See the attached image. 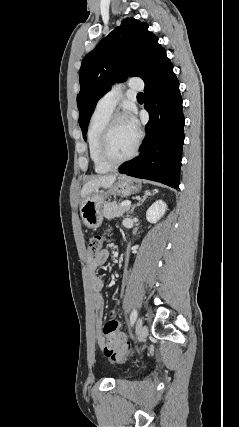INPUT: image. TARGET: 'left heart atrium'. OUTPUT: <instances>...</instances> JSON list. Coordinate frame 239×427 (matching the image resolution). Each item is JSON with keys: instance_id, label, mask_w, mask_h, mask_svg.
<instances>
[{"instance_id": "obj_1", "label": "left heart atrium", "mask_w": 239, "mask_h": 427, "mask_svg": "<svg viewBox=\"0 0 239 427\" xmlns=\"http://www.w3.org/2000/svg\"><path fill=\"white\" fill-rule=\"evenodd\" d=\"M127 125L129 126V128L134 132V133H138V125H137V121L136 119L132 116L129 115L126 119H125Z\"/></svg>"}]
</instances>
